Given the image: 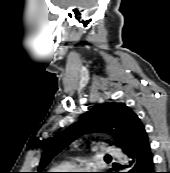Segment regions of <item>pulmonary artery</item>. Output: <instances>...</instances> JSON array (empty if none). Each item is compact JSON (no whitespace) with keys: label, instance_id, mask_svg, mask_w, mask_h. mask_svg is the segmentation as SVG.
<instances>
[{"label":"pulmonary artery","instance_id":"obj_1","mask_svg":"<svg viewBox=\"0 0 170 173\" xmlns=\"http://www.w3.org/2000/svg\"><path fill=\"white\" fill-rule=\"evenodd\" d=\"M105 153H107L109 156L119 158L121 157V152L115 148V147H107L105 149Z\"/></svg>","mask_w":170,"mask_h":173}]
</instances>
